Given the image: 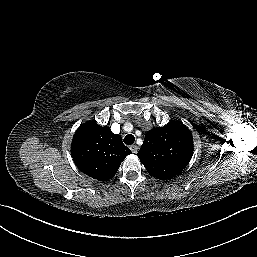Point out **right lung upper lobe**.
<instances>
[{"instance_id": "cb5924a9", "label": "right lung upper lobe", "mask_w": 257, "mask_h": 257, "mask_svg": "<svg viewBox=\"0 0 257 257\" xmlns=\"http://www.w3.org/2000/svg\"><path fill=\"white\" fill-rule=\"evenodd\" d=\"M129 154L131 151L120 135L96 122L79 127L72 140L71 155L76 166L98 181L112 178Z\"/></svg>"}]
</instances>
